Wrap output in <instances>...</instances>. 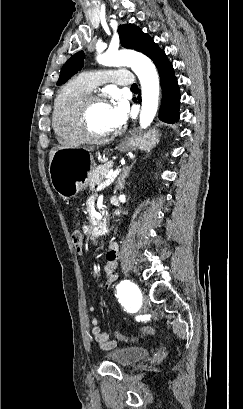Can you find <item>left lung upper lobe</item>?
I'll list each match as a JSON object with an SVG mask.
<instances>
[{"mask_svg": "<svg viewBox=\"0 0 243 409\" xmlns=\"http://www.w3.org/2000/svg\"><path fill=\"white\" fill-rule=\"evenodd\" d=\"M121 45L125 48L142 52L153 60L157 68L168 63L165 52L161 50L148 34L143 33L140 28L132 24L120 25L118 27ZM84 52L74 54L62 67L57 85L65 83L71 76L84 66Z\"/></svg>", "mask_w": 243, "mask_h": 409, "instance_id": "left-lung-upper-lobe-1", "label": "left lung upper lobe"}]
</instances>
